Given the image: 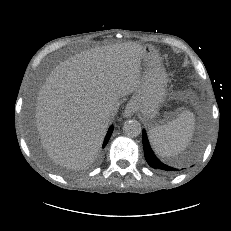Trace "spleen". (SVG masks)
<instances>
[{"label": "spleen", "instance_id": "1", "mask_svg": "<svg viewBox=\"0 0 231 231\" xmlns=\"http://www.w3.org/2000/svg\"><path fill=\"white\" fill-rule=\"evenodd\" d=\"M194 128V114L185 110L172 121L149 130L151 145L159 156H175L187 147Z\"/></svg>", "mask_w": 231, "mask_h": 231}]
</instances>
